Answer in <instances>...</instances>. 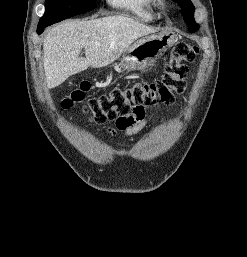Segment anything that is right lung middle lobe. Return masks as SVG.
I'll return each instance as SVG.
<instances>
[{"instance_id": "obj_1", "label": "right lung middle lobe", "mask_w": 247, "mask_h": 257, "mask_svg": "<svg viewBox=\"0 0 247 257\" xmlns=\"http://www.w3.org/2000/svg\"><path fill=\"white\" fill-rule=\"evenodd\" d=\"M96 0H46L45 13L38 25H52L66 18L86 13L95 7Z\"/></svg>"}]
</instances>
